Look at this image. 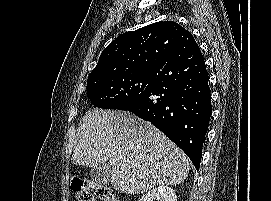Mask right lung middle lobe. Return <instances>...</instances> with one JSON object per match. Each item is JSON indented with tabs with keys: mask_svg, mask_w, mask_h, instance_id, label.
I'll return each instance as SVG.
<instances>
[{
	"mask_svg": "<svg viewBox=\"0 0 271 201\" xmlns=\"http://www.w3.org/2000/svg\"><path fill=\"white\" fill-rule=\"evenodd\" d=\"M153 81L152 72H127L88 78L87 94L96 107L120 109L148 89Z\"/></svg>",
	"mask_w": 271,
	"mask_h": 201,
	"instance_id": "1",
	"label": "right lung middle lobe"
}]
</instances>
